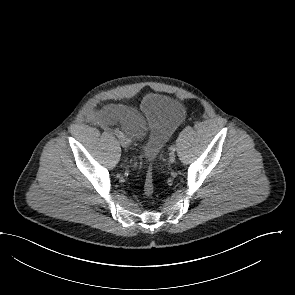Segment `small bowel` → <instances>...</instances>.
Here are the masks:
<instances>
[{
	"instance_id": "c3829d8e",
	"label": "small bowel",
	"mask_w": 295,
	"mask_h": 295,
	"mask_svg": "<svg viewBox=\"0 0 295 295\" xmlns=\"http://www.w3.org/2000/svg\"><path fill=\"white\" fill-rule=\"evenodd\" d=\"M90 117L104 128L119 123L123 130L132 137L142 136L146 129L145 118L138 111L124 106H108L93 111Z\"/></svg>"
}]
</instances>
